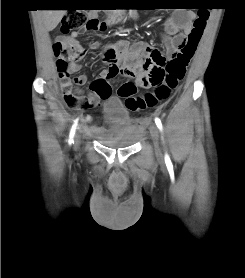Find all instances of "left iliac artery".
Here are the masks:
<instances>
[{"label": "left iliac artery", "instance_id": "1", "mask_svg": "<svg viewBox=\"0 0 245 278\" xmlns=\"http://www.w3.org/2000/svg\"><path fill=\"white\" fill-rule=\"evenodd\" d=\"M155 123H156L157 127H158L160 130H162V123H161V120H160L159 118H156V119H155ZM165 162H166V163L171 162V161H170V158H169V156H168L167 154L165 155Z\"/></svg>", "mask_w": 245, "mask_h": 278}]
</instances>
